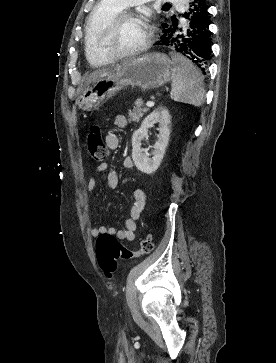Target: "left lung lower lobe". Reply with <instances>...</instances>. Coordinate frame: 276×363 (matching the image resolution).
Returning a JSON list of instances; mask_svg holds the SVG:
<instances>
[{
	"label": "left lung lower lobe",
	"mask_w": 276,
	"mask_h": 363,
	"mask_svg": "<svg viewBox=\"0 0 276 363\" xmlns=\"http://www.w3.org/2000/svg\"><path fill=\"white\" fill-rule=\"evenodd\" d=\"M184 23L173 20L164 29L156 45H164L191 60L206 74L210 55V31L207 0H188V11L183 15Z\"/></svg>",
	"instance_id": "0a47b994"
}]
</instances>
